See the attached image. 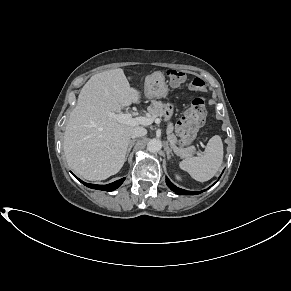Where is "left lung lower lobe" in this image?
Instances as JSON below:
<instances>
[{
	"label": "left lung lower lobe",
	"mask_w": 291,
	"mask_h": 291,
	"mask_svg": "<svg viewBox=\"0 0 291 291\" xmlns=\"http://www.w3.org/2000/svg\"><path fill=\"white\" fill-rule=\"evenodd\" d=\"M166 184L172 191H174L176 194H179V195H196V194L203 192V191L193 192V191H187V190H183L181 188H178L173 183H171L168 178H166Z\"/></svg>",
	"instance_id": "1"
}]
</instances>
